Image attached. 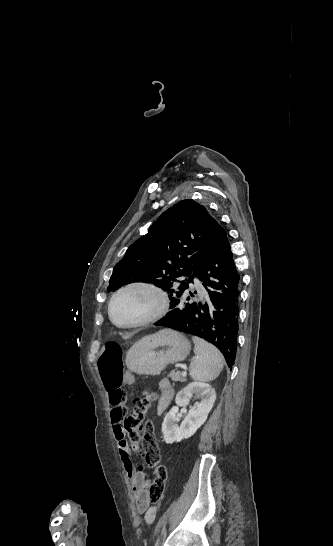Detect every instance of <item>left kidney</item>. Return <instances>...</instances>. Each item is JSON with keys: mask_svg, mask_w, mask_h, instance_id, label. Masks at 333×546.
<instances>
[{"mask_svg": "<svg viewBox=\"0 0 333 546\" xmlns=\"http://www.w3.org/2000/svg\"><path fill=\"white\" fill-rule=\"evenodd\" d=\"M198 399L190 407L187 416L179 421V407L187 406L192 398ZM216 399L215 390L209 385L201 382H191L180 390L175 398L176 406L165 415L162 423V433L166 443L180 442L195 434L206 421Z\"/></svg>", "mask_w": 333, "mask_h": 546, "instance_id": "left-kidney-1", "label": "left kidney"}]
</instances>
